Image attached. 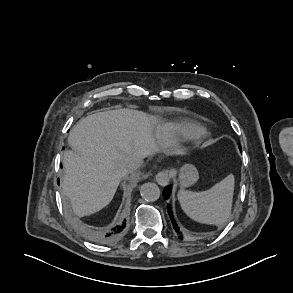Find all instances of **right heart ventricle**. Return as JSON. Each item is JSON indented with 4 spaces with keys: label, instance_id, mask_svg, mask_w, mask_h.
I'll return each instance as SVG.
<instances>
[{
    "label": "right heart ventricle",
    "instance_id": "right-heart-ventricle-1",
    "mask_svg": "<svg viewBox=\"0 0 293 293\" xmlns=\"http://www.w3.org/2000/svg\"><path fill=\"white\" fill-rule=\"evenodd\" d=\"M199 126L189 119H175L161 125L163 138L170 142L181 141L189 136H193Z\"/></svg>",
    "mask_w": 293,
    "mask_h": 293
}]
</instances>
